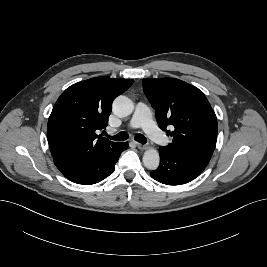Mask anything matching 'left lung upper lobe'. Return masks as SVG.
Here are the masks:
<instances>
[{
  "mask_svg": "<svg viewBox=\"0 0 267 267\" xmlns=\"http://www.w3.org/2000/svg\"><path fill=\"white\" fill-rule=\"evenodd\" d=\"M143 90L163 131L173 137L166 147L210 160L217 140V118L204 93L175 78L143 79ZM173 126V131L167 127Z\"/></svg>",
  "mask_w": 267,
  "mask_h": 267,
  "instance_id": "1",
  "label": "left lung upper lobe"
}]
</instances>
